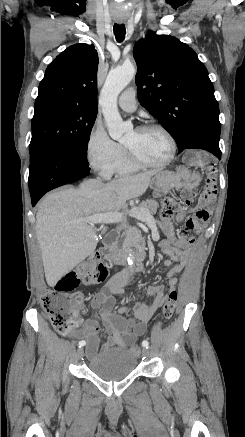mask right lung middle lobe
Instances as JSON below:
<instances>
[{"mask_svg": "<svg viewBox=\"0 0 245 437\" xmlns=\"http://www.w3.org/2000/svg\"><path fill=\"white\" fill-rule=\"evenodd\" d=\"M97 110L49 103L35 106L32 118L30 160L46 150L86 158Z\"/></svg>", "mask_w": 245, "mask_h": 437, "instance_id": "dd1d6c3e", "label": "right lung middle lobe"}]
</instances>
